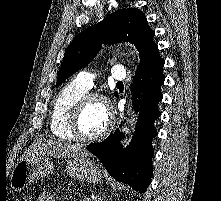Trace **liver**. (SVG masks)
<instances>
[{"mask_svg": "<svg viewBox=\"0 0 221 201\" xmlns=\"http://www.w3.org/2000/svg\"><path fill=\"white\" fill-rule=\"evenodd\" d=\"M89 153L80 144L64 143L56 140L41 141L33 144L22 157L51 156V157H74L87 156Z\"/></svg>", "mask_w": 221, "mask_h": 201, "instance_id": "1", "label": "liver"}]
</instances>
